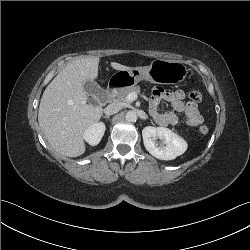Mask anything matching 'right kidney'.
Instances as JSON below:
<instances>
[{
  "instance_id": "ca27d5eb",
  "label": "right kidney",
  "mask_w": 250,
  "mask_h": 250,
  "mask_svg": "<svg viewBox=\"0 0 250 250\" xmlns=\"http://www.w3.org/2000/svg\"><path fill=\"white\" fill-rule=\"evenodd\" d=\"M104 132H105L104 123H101V122L95 123L86 129V131L84 132L83 138L91 146H95L102 139Z\"/></svg>"
}]
</instances>
